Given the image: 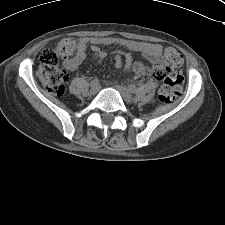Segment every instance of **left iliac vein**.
Listing matches in <instances>:
<instances>
[{"instance_id": "4c4485c4", "label": "left iliac vein", "mask_w": 225, "mask_h": 225, "mask_svg": "<svg viewBox=\"0 0 225 225\" xmlns=\"http://www.w3.org/2000/svg\"><path fill=\"white\" fill-rule=\"evenodd\" d=\"M116 88L119 90V92L121 93L122 98L126 102H132V100H133L132 95H131L129 89L126 86L117 85Z\"/></svg>"}]
</instances>
